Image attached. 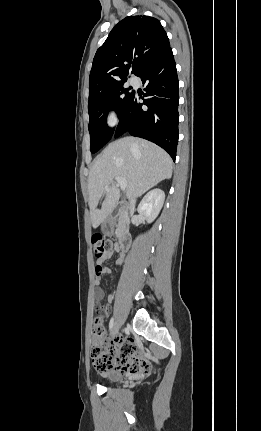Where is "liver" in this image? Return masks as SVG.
<instances>
[{
  "label": "liver",
  "instance_id": "liver-1",
  "mask_svg": "<svg viewBox=\"0 0 261 431\" xmlns=\"http://www.w3.org/2000/svg\"><path fill=\"white\" fill-rule=\"evenodd\" d=\"M173 163L166 151L144 139L124 137L110 143L96 157L88 178L91 224L97 228L115 209L120 193L116 177L127 181V197H138L172 176ZM108 186V188H106ZM105 196L101 209L98 203Z\"/></svg>",
  "mask_w": 261,
  "mask_h": 431
}]
</instances>
